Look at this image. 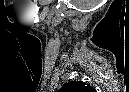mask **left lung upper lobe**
<instances>
[{"label": "left lung upper lobe", "mask_w": 129, "mask_h": 92, "mask_svg": "<svg viewBox=\"0 0 129 92\" xmlns=\"http://www.w3.org/2000/svg\"><path fill=\"white\" fill-rule=\"evenodd\" d=\"M95 90L82 81L70 82L63 86L59 92H94Z\"/></svg>", "instance_id": "1"}]
</instances>
